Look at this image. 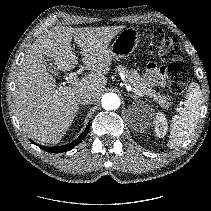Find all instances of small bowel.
Returning a JSON list of instances; mask_svg holds the SVG:
<instances>
[{
    "instance_id": "1",
    "label": "small bowel",
    "mask_w": 211,
    "mask_h": 211,
    "mask_svg": "<svg viewBox=\"0 0 211 211\" xmlns=\"http://www.w3.org/2000/svg\"><path fill=\"white\" fill-rule=\"evenodd\" d=\"M146 78L153 85L162 86L166 81V73L163 68H159L154 64H150L148 66Z\"/></svg>"
}]
</instances>
